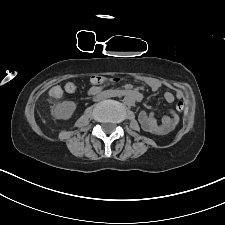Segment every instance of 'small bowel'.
Listing matches in <instances>:
<instances>
[{"instance_id":"c3829d8e","label":"small bowel","mask_w":225,"mask_h":225,"mask_svg":"<svg viewBox=\"0 0 225 225\" xmlns=\"http://www.w3.org/2000/svg\"><path fill=\"white\" fill-rule=\"evenodd\" d=\"M148 85L153 91H157L161 88V84L156 81H151ZM95 90H97V88L93 87L91 92ZM176 96L180 98L182 96L181 92L177 91ZM164 97L168 103H172L175 100V95L170 91H166ZM138 118L145 131L156 135H164L171 132L179 123V117L172 110L164 114L160 122L157 119V114L154 112L141 111Z\"/></svg>"}]
</instances>
